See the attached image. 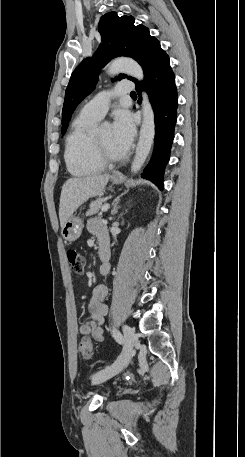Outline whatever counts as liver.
Returning a JSON list of instances; mask_svg holds the SVG:
<instances>
[{
  "mask_svg": "<svg viewBox=\"0 0 245 457\" xmlns=\"http://www.w3.org/2000/svg\"><path fill=\"white\" fill-rule=\"evenodd\" d=\"M110 174H90L85 178H68L61 190L59 204L60 224H64L74 210L88 200L90 196H97L106 186Z\"/></svg>",
  "mask_w": 245,
  "mask_h": 457,
  "instance_id": "6515ba94",
  "label": "liver"
}]
</instances>
